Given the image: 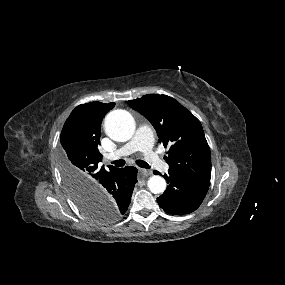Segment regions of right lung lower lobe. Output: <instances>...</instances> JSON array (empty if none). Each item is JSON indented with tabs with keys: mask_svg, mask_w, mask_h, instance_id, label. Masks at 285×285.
I'll use <instances>...</instances> for the list:
<instances>
[{
	"mask_svg": "<svg viewBox=\"0 0 285 285\" xmlns=\"http://www.w3.org/2000/svg\"><path fill=\"white\" fill-rule=\"evenodd\" d=\"M136 177L137 169L135 167L118 168L100 178L92 189L97 199L110 205L120 217L128 209L133 188L137 183Z\"/></svg>",
	"mask_w": 285,
	"mask_h": 285,
	"instance_id": "obj_1",
	"label": "right lung lower lobe"
}]
</instances>
